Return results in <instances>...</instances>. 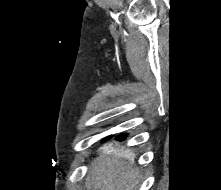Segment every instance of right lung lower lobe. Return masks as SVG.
<instances>
[{"label": "right lung lower lobe", "mask_w": 221, "mask_h": 190, "mask_svg": "<svg viewBox=\"0 0 221 190\" xmlns=\"http://www.w3.org/2000/svg\"><path fill=\"white\" fill-rule=\"evenodd\" d=\"M126 139V135L125 134H120L116 137V140L118 141H122V140H125Z\"/></svg>", "instance_id": "1"}]
</instances>
